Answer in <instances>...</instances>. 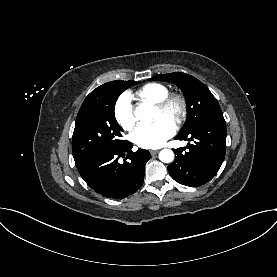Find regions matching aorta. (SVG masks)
I'll return each instance as SVG.
<instances>
[{"instance_id": "762f6f07", "label": "aorta", "mask_w": 277, "mask_h": 277, "mask_svg": "<svg viewBox=\"0 0 277 277\" xmlns=\"http://www.w3.org/2000/svg\"><path fill=\"white\" fill-rule=\"evenodd\" d=\"M134 114L138 120L150 123L155 116V109L150 104H140ZM159 159L164 163H170L174 159V153L170 149H163L159 153Z\"/></svg>"}]
</instances>
